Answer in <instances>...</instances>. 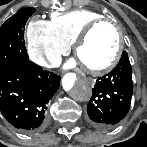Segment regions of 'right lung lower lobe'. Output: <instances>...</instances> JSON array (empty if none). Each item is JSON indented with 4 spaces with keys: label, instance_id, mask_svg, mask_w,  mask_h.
<instances>
[{
    "label": "right lung lower lobe",
    "instance_id": "obj_1",
    "mask_svg": "<svg viewBox=\"0 0 147 147\" xmlns=\"http://www.w3.org/2000/svg\"><path fill=\"white\" fill-rule=\"evenodd\" d=\"M60 77L27 60L0 73V110L15 128L36 133L47 125L46 109Z\"/></svg>",
    "mask_w": 147,
    "mask_h": 147
}]
</instances>
